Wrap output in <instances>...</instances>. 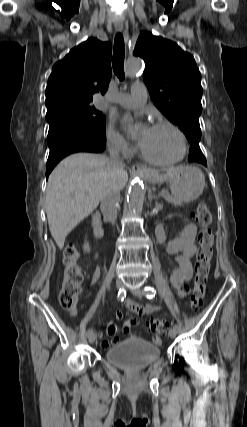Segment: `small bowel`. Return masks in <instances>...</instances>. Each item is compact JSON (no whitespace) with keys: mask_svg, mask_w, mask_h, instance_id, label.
Wrapping results in <instances>:
<instances>
[{"mask_svg":"<svg viewBox=\"0 0 247 427\" xmlns=\"http://www.w3.org/2000/svg\"><path fill=\"white\" fill-rule=\"evenodd\" d=\"M196 234L197 228L195 224L189 221H184L183 228L179 234L168 240L166 232L163 226L160 224L155 229V235L158 242L161 244L164 252L177 255L176 262L177 266L171 270L170 273V283L174 289L178 291L180 297H185L188 293V288L186 283L191 279L192 276V265L191 258L196 252ZM100 277V270L97 268L92 275L90 285H94ZM125 306L128 310L135 313L138 316H143L146 314H152L158 312L160 307L157 305H141L133 300H127ZM116 319H121L123 314L121 311L115 313ZM138 323L136 317L128 319L124 323V331L129 335L130 338H134L135 335L130 333L132 326ZM117 328L113 323L107 324V334L112 337L110 341H102V346L107 347L109 345H114L117 343L118 339L116 337ZM153 342L157 345L161 343L160 338L154 337Z\"/></svg>","mask_w":247,"mask_h":427,"instance_id":"obj_1","label":"small bowel"}]
</instances>
